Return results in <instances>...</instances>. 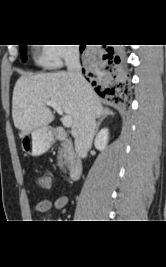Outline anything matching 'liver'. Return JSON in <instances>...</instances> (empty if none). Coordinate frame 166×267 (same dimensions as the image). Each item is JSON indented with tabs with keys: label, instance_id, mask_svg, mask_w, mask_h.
<instances>
[{
	"label": "liver",
	"instance_id": "6515ba94",
	"mask_svg": "<svg viewBox=\"0 0 166 267\" xmlns=\"http://www.w3.org/2000/svg\"><path fill=\"white\" fill-rule=\"evenodd\" d=\"M93 113L99 117L105 112L97 94L90 87ZM53 101L72 117V134L75 136L81 119L83 93L65 71L22 75L16 82L12 97L14 125L21 131L20 137L32 130L47 126L54 119L45 102Z\"/></svg>",
	"mask_w": 166,
	"mask_h": 267
}]
</instances>
